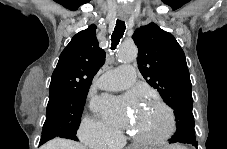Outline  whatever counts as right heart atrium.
Listing matches in <instances>:
<instances>
[{"label": "right heart atrium", "instance_id": "d8ad5b80", "mask_svg": "<svg viewBox=\"0 0 227 149\" xmlns=\"http://www.w3.org/2000/svg\"><path fill=\"white\" fill-rule=\"evenodd\" d=\"M79 136L89 146L115 145L117 132L93 117H85L79 128Z\"/></svg>", "mask_w": 227, "mask_h": 149}]
</instances>
